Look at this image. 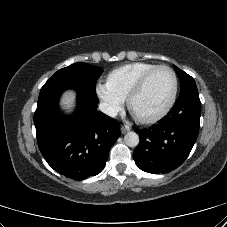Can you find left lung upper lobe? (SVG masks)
Here are the masks:
<instances>
[{
	"instance_id": "5c2ea615",
	"label": "left lung upper lobe",
	"mask_w": 227,
	"mask_h": 227,
	"mask_svg": "<svg viewBox=\"0 0 227 227\" xmlns=\"http://www.w3.org/2000/svg\"><path fill=\"white\" fill-rule=\"evenodd\" d=\"M174 69L180 80V93L191 88H197L194 79L190 75L180 70L175 65H174Z\"/></svg>"
}]
</instances>
